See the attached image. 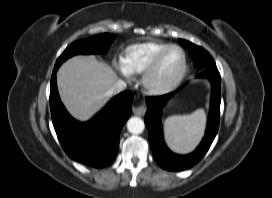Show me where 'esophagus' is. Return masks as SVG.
<instances>
[{
    "label": "esophagus",
    "instance_id": "1",
    "mask_svg": "<svg viewBox=\"0 0 272 198\" xmlns=\"http://www.w3.org/2000/svg\"><path fill=\"white\" fill-rule=\"evenodd\" d=\"M133 113L137 116H144L146 113V107L144 106H136L133 108Z\"/></svg>",
    "mask_w": 272,
    "mask_h": 198
}]
</instances>
